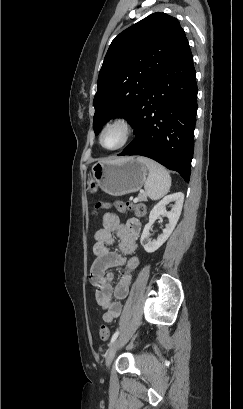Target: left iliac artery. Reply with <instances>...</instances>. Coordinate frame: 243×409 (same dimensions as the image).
I'll return each mask as SVG.
<instances>
[{
  "label": "left iliac artery",
  "instance_id": "left-iliac-artery-1",
  "mask_svg": "<svg viewBox=\"0 0 243 409\" xmlns=\"http://www.w3.org/2000/svg\"><path fill=\"white\" fill-rule=\"evenodd\" d=\"M118 335H119V331H116V332L113 334V336H112V338H111V341H110V343H109V346L116 340V338L118 337Z\"/></svg>",
  "mask_w": 243,
  "mask_h": 409
}]
</instances>
